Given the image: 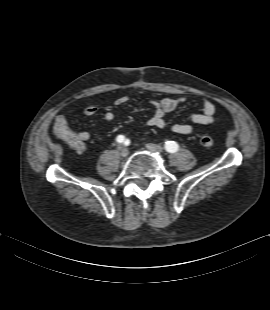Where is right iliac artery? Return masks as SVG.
I'll return each instance as SVG.
<instances>
[{
  "mask_svg": "<svg viewBox=\"0 0 270 310\" xmlns=\"http://www.w3.org/2000/svg\"><path fill=\"white\" fill-rule=\"evenodd\" d=\"M117 142L119 143H126L128 140L125 139V137L123 135H118L117 138H116Z\"/></svg>",
  "mask_w": 270,
  "mask_h": 310,
  "instance_id": "right-iliac-artery-1",
  "label": "right iliac artery"
}]
</instances>
